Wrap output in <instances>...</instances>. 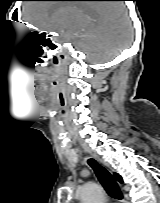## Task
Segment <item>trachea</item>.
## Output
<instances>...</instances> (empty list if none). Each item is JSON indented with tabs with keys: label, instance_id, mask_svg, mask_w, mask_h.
<instances>
[{
	"label": "trachea",
	"instance_id": "obj_1",
	"mask_svg": "<svg viewBox=\"0 0 160 203\" xmlns=\"http://www.w3.org/2000/svg\"><path fill=\"white\" fill-rule=\"evenodd\" d=\"M88 164L94 170L98 180L100 181L108 195L115 199H123V194L112 175L94 159H88Z\"/></svg>",
	"mask_w": 160,
	"mask_h": 203
}]
</instances>
